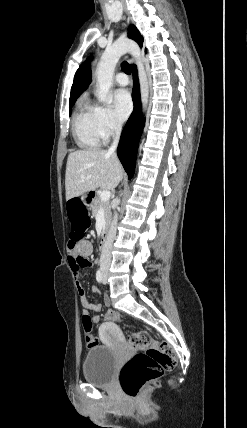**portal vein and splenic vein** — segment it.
<instances>
[{
  "mask_svg": "<svg viewBox=\"0 0 247 428\" xmlns=\"http://www.w3.org/2000/svg\"><path fill=\"white\" fill-rule=\"evenodd\" d=\"M111 192L108 190H104L100 194V198L102 201H108L110 199Z\"/></svg>",
  "mask_w": 247,
  "mask_h": 428,
  "instance_id": "18ae733b",
  "label": "portal vein and splenic vein"
}]
</instances>
